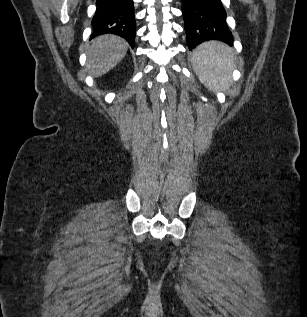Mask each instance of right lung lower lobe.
I'll use <instances>...</instances> for the list:
<instances>
[{
	"instance_id": "right-lung-lower-lobe-1",
	"label": "right lung lower lobe",
	"mask_w": 307,
	"mask_h": 317,
	"mask_svg": "<svg viewBox=\"0 0 307 317\" xmlns=\"http://www.w3.org/2000/svg\"><path fill=\"white\" fill-rule=\"evenodd\" d=\"M90 39L106 33L123 37L132 48L136 34L133 0H96Z\"/></svg>"
}]
</instances>
